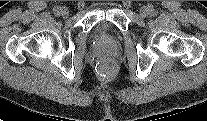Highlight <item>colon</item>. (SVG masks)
<instances>
[{
	"label": "colon",
	"mask_w": 207,
	"mask_h": 121,
	"mask_svg": "<svg viewBox=\"0 0 207 121\" xmlns=\"http://www.w3.org/2000/svg\"><path fill=\"white\" fill-rule=\"evenodd\" d=\"M115 69L113 60L109 57H103L99 63V70L103 74H109Z\"/></svg>",
	"instance_id": "1"
}]
</instances>
